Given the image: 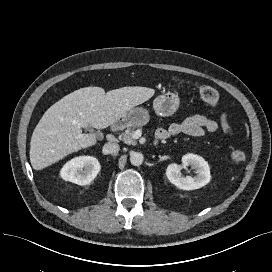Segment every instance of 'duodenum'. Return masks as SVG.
<instances>
[{"instance_id":"1","label":"duodenum","mask_w":272,"mask_h":272,"mask_svg":"<svg viewBox=\"0 0 272 272\" xmlns=\"http://www.w3.org/2000/svg\"><path fill=\"white\" fill-rule=\"evenodd\" d=\"M120 125H121L120 122L115 121V122L112 123V125H111V130H112V131H115V130L119 129ZM159 144H160V141H159V139L156 138V140H155V142H154V145H155V146H159Z\"/></svg>"}]
</instances>
